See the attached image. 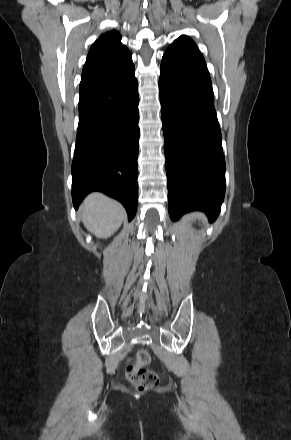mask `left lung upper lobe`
Segmentation results:
<instances>
[{
  "label": "left lung upper lobe",
  "mask_w": 291,
  "mask_h": 440,
  "mask_svg": "<svg viewBox=\"0 0 291 440\" xmlns=\"http://www.w3.org/2000/svg\"><path fill=\"white\" fill-rule=\"evenodd\" d=\"M165 54L181 59L194 60L205 63V60L196 44L185 35H182L177 40H175L173 44H171L167 48Z\"/></svg>",
  "instance_id": "1"
}]
</instances>
